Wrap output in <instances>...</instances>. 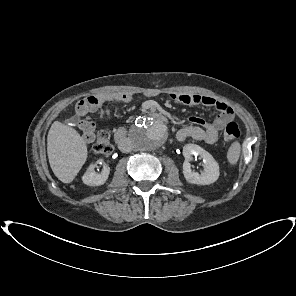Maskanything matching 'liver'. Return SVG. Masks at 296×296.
<instances>
[{
  "instance_id": "6515ba94",
  "label": "liver",
  "mask_w": 296,
  "mask_h": 296,
  "mask_svg": "<svg viewBox=\"0 0 296 296\" xmlns=\"http://www.w3.org/2000/svg\"><path fill=\"white\" fill-rule=\"evenodd\" d=\"M51 169L63 183H71L87 159V146L80 134L59 121L53 122L47 137Z\"/></svg>"
}]
</instances>
